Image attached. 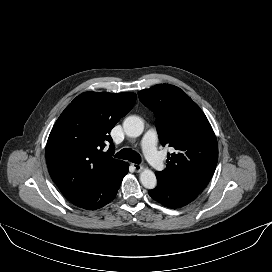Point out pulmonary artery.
I'll return each mask as SVG.
<instances>
[{
    "mask_svg": "<svg viewBox=\"0 0 272 272\" xmlns=\"http://www.w3.org/2000/svg\"><path fill=\"white\" fill-rule=\"evenodd\" d=\"M156 140L157 135L154 129L148 130L142 141L141 146L143 149V152L147 158V160L150 162V164L157 170H161L164 168V161L160 153L156 149Z\"/></svg>",
    "mask_w": 272,
    "mask_h": 272,
    "instance_id": "1",
    "label": "pulmonary artery"
}]
</instances>
